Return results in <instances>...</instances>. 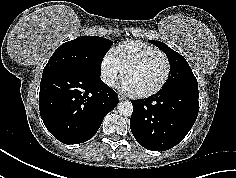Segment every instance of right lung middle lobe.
Returning a JSON list of instances; mask_svg holds the SVG:
<instances>
[{"mask_svg":"<svg viewBox=\"0 0 236 178\" xmlns=\"http://www.w3.org/2000/svg\"><path fill=\"white\" fill-rule=\"evenodd\" d=\"M111 46L112 42L102 37H78L57 48L43 72L73 70L100 77L102 59Z\"/></svg>","mask_w":236,"mask_h":178,"instance_id":"right-lung-middle-lobe-1","label":"right lung middle lobe"}]
</instances>
